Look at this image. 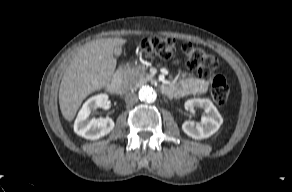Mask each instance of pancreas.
Masks as SVG:
<instances>
[{
    "label": "pancreas",
    "instance_id": "obj_1",
    "mask_svg": "<svg viewBox=\"0 0 292 192\" xmlns=\"http://www.w3.org/2000/svg\"><path fill=\"white\" fill-rule=\"evenodd\" d=\"M127 80L133 86H140L148 81H153V76L146 74L143 66L131 70L127 74Z\"/></svg>",
    "mask_w": 292,
    "mask_h": 192
}]
</instances>
